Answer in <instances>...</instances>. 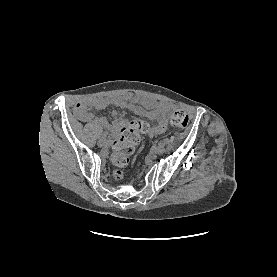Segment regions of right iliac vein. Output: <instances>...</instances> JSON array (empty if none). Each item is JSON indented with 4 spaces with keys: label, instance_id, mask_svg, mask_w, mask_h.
I'll return each instance as SVG.
<instances>
[{
    "label": "right iliac vein",
    "instance_id": "63e3f726",
    "mask_svg": "<svg viewBox=\"0 0 277 277\" xmlns=\"http://www.w3.org/2000/svg\"><path fill=\"white\" fill-rule=\"evenodd\" d=\"M108 144H109V141L107 140V138H100L98 140L99 147H106Z\"/></svg>",
    "mask_w": 277,
    "mask_h": 277
}]
</instances>
